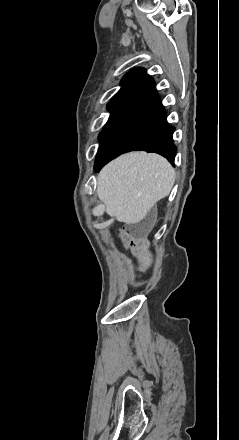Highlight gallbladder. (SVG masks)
<instances>
[{
	"mask_svg": "<svg viewBox=\"0 0 239 440\" xmlns=\"http://www.w3.org/2000/svg\"><path fill=\"white\" fill-rule=\"evenodd\" d=\"M145 222H146L149 230H151V228H153V226L156 222V218H155V214H154L153 210H151V212H149V214H147V216L145 218Z\"/></svg>",
	"mask_w": 239,
	"mask_h": 440,
	"instance_id": "gallbladder-1",
	"label": "gallbladder"
}]
</instances>
